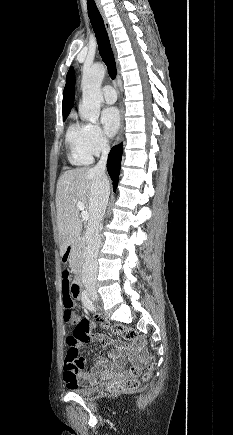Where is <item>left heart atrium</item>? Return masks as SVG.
<instances>
[{"instance_id": "left-heart-atrium-1", "label": "left heart atrium", "mask_w": 233, "mask_h": 435, "mask_svg": "<svg viewBox=\"0 0 233 435\" xmlns=\"http://www.w3.org/2000/svg\"><path fill=\"white\" fill-rule=\"evenodd\" d=\"M101 123L105 133L113 137L120 126V114L117 108L107 107L101 111Z\"/></svg>"}]
</instances>
